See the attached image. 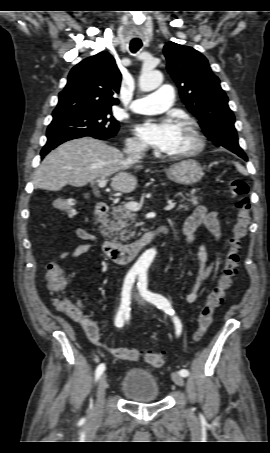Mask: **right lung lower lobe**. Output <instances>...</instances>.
<instances>
[{
  "label": "right lung lower lobe",
  "instance_id": "1",
  "mask_svg": "<svg viewBox=\"0 0 270 453\" xmlns=\"http://www.w3.org/2000/svg\"><path fill=\"white\" fill-rule=\"evenodd\" d=\"M85 136H91V137H94L96 139H101V140L108 139V138H104L100 135L90 134V133H67V132L48 133L47 134L48 140H47L46 145L43 147V149L41 151V158L43 159L44 156L49 151H51L52 149H54L61 143L68 141V140L85 137Z\"/></svg>",
  "mask_w": 270,
  "mask_h": 453
}]
</instances>
